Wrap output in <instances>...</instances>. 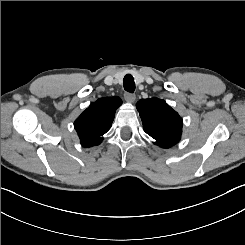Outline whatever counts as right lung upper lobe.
<instances>
[{"label": "right lung upper lobe", "instance_id": "obj_1", "mask_svg": "<svg viewBox=\"0 0 245 245\" xmlns=\"http://www.w3.org/2000/svg\"><path fill=\"white\" fill-rule=\"evenodd\" d=\"M122 104L119 97H103L90 106L76 119L74 127L82 146L92 147L100 144L102 136L111 127L115 110Z\"/></svg>", "mask_w": 245, "mask_h": 245}]
</instances>
